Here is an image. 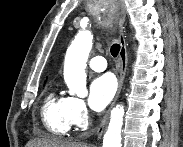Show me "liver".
Returning <instances> with one entry per match:
<instances>
[{
    "mask_svg": "<svg viewBox=\"0 0 183 147\" xmlns=\"http://www.w3.org/2000/svg\"><path fill=\"white\" fill-rule=\"evenodd\" d=\"M26 147H87L85 144L62 140L57 137H39L27 143Z\"/></svg>",
    "mask_w": 183,
    "mask_h": 147,
    "instance_id": "6515ba94",
    "label": "liver"
}]
</instances>
